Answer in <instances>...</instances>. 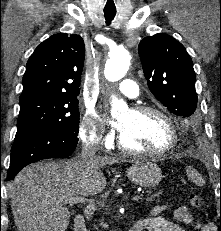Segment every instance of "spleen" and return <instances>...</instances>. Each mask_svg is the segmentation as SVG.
Returning <instances> with one entry per match:
<instances>
[{
  "mask_svg": "<svg viewBox=\"0 0 221 231\" xmlns=\"http://www.w3.org/2000/svg\"><path fill=\"white\" fill-rule=\"evenodd\" d=\"M186 173H187L188 177L191 180L195 181L197 184H199V185L203 184L202 178L200 177V175L198 174V172L196 170H194L193 168L187 167Z\"/></svg>",
  "mask_w": 221,
  "mask_h": 231,
  "instance_id": "spleen-1",
  "label": "spleen"
}]
</instances>
